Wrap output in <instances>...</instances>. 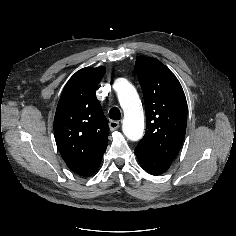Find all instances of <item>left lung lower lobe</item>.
<instances>
[{
    "label": "left lung lower lobe",
    "mask_w": 236,
    "mask_h": 236,
    "mask_svg": "<svg viewBox=\"0 0 236 236\" xmlns=\"http://www.w3.org/2000/svg\"><path fill=\"white\" fill-rule=\"evenodd\" d=\"M135 153L142 168L151 175H161L171 166V162L153 156L142 149L135 148Z\"/></svg>",
    "instance_id": "0a47b994"
}]
</instances>
